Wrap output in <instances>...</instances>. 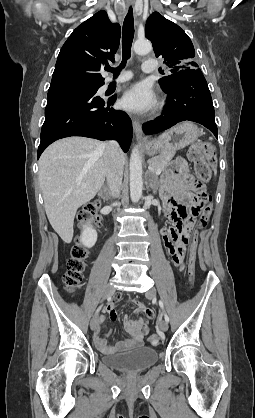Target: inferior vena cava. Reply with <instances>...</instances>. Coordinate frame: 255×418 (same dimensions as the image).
<instances>
[{
	"mask_svg": "<svg viewBox=\"0 0 255 418\" xmlns=\"http://www.w3.org/2000/svg\"><path fill=\"white\" fill-rule=\"evenodd\" d=\"M104 164L107 184L112 196H117L122 187L123 166L122 151L116 141L104 143Z\"/></svg>",
	"mask_w": 255,
	"mask_h": 418,
	"instance_id": "inferior-vena-cava-1",
	"label": "inferior vena cava"
}]
</instances>
